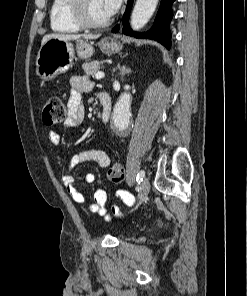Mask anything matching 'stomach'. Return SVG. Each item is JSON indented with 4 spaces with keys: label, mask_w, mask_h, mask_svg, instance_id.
<instances>
[{
    "label": "stomach",
    "mask_w": 247,
    "mask_h": 296,
    "mask_svg": "<svg viewBox=\"0 0 247 296\" xmlns=\"http://www.w3.org/2000/svg\"><path fill=\"white\" fill-rule=\"evenodd\" d=\"M103 53H116L122 49V45L110 37H105L99 42ZM76 51L81 59L90 58L94 49L92 43L80 40L77 42ZM75 57V49L69 41L52 38L46 41L40 48L36 59V75L43 81H49L57 75L66 72Z\"/></svg>",
    "instance_id": "stomach-1"
}]
</instances>
